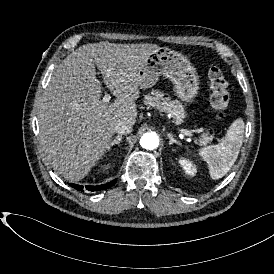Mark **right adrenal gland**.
I'll list each match as a JSON object with an SVG mask.
<instances>
[{
	"instance_id": "obj_1",
	"label": "right adrenal gland",
	"mask_w": 274,
	"mask_h": 274,
	"mask_svg": "<svg viewBox=\"0 0 274 274\" xmlns=\"http://www.w3.org/2000/svg\"><path fill=\"white\" fill-rule=\"evenodd\" d=\"M121 139H122V135L116 136L115 139H114L113 145L111 146V149H112L114 146L119 147V146H120V140H121Z\"/></svg>"
}]
</instances>
